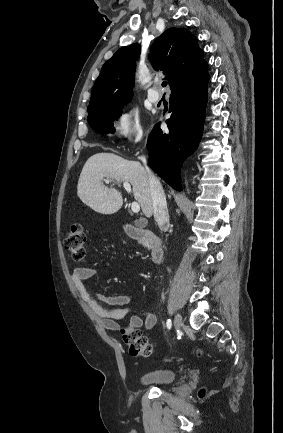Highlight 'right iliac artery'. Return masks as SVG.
Wrapping results in <instances>:
<instances>
[{
	"instance_id": "82829eb1",
	"label": "right iliac artery",
	"mask_w": 283,
	"mask_h": 433,
	"mask_svg": "<svg viewBox=\"0 0 283 433\" xmlns=\"http://www.w3.org/2000/svg\"><path fill=\"white\" fill-rule=\"evenodd\" d=\"M166 325H167V328H168V329H171L172 323H171V320H170V319L167 320Z\"/></svg>"
}]
</instances>
